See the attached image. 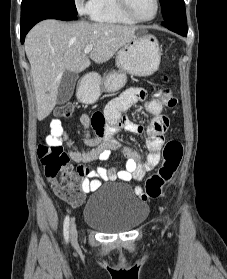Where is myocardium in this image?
Returning a JSON list of instances; mask_svg holds the SVG:
<instances>
[{
  "label": "myocardium",
  "instance_id": "obj_1",
  "mask_svg": "<svg viewBox=\"0 0 227 279\" xmlns=\"http://www.w3.org/2000/svg\"><path fill=\"white\" fill-rule=\"evenodd\" d=\"M117 2L119 4L120 8L122 9V11L128 17H130L132 20H134L136 22H149V21L154 20L157 17L159 8H160L159 0H154L155 10H154L153 15L149 18H139L134 14V12L130 6L129 0H117Z\"/></svg>",
  "mask_w": 227,
  "mask_h": 279
}]
</instances>
